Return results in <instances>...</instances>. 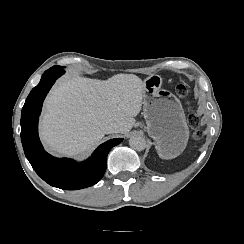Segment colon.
<instances>
[{
  "label": "colon",
  "mask_w": 244,
  "mask_h": 244,
  "mask_svg": "<svg viewBox=\"0 0 244 244\" xmlns=\"http://www.w3.org/2000/svg\"><path fill=\"white\" fill-rule=\"evenodd\" d=\"M176 89L180 92V93H185L187 91V87L182 84L179 83L176 85ZM195 115L193 113L190 114V117H194ZM194 137L196 139H201L203 137V132L201 130H198L194 133Z\"/></svg>",
  "instance_id": "1"
}]
</instances>
